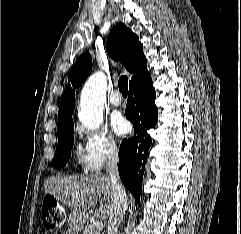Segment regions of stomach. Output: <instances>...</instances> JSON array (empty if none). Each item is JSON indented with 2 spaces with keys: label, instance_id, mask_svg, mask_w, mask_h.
Segmentation results:
<instances>
[{
  "label": "stomach",
  "instance_id": "1",
  "mask_svg": "<svg viewBox=\"0 0 241 234\" xmlns=\"http://www.w3.org/2000/svg\"><path fill=\"white\" fill-rule=\"evenodd\" d=\"M83 220V217L79 214H73L72 215V221L75 223L81 222Z\"/></svg>",
  "mask_w": 241,
  "mask_h": 234
}]
</instances>
